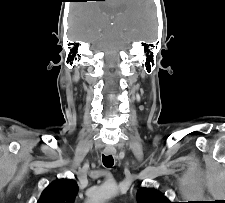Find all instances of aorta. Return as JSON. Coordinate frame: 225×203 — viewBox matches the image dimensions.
Wrapping results in <instances>:
<instances>
[{
	"label": "aorta",
	"mask_w": 225,
	"mask_h": 203,
	"mask_svg": "<svg viewBox=\"0 0 225 203\" xmlns=\"http://www.w3.org/2000/svg\"><path fill=\"white\" fill-rule=\"evenodd\" d=\"M116 193V186L113 183H106L98 188L87 201V203H104Z\"/></svg>",
	"instance_id": "obj_1"
}]
</instances>
